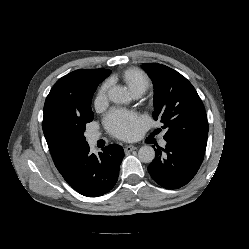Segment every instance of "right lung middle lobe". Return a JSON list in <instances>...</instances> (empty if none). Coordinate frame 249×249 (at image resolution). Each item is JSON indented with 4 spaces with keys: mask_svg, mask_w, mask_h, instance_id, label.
Instances as JSON below:
<instances>
[{
    "mask_svg": "<svg viewBox=\"0 0 249 249\" xmlns=\"http://www.w3.org/2000/svg\"><path fill=\"white\" fill-rule=\"evenodd\" d=\"M96 88L97 86L94 87L90 97L88 98L85 110L80 114L74 115L66 124V135L76 146L87 144L84 136V131L86 124L91 122L94 117L91 109V100Z\"/></svg>",
    "mask_w": 249,
    "mask_h": 249,
    "instance_id": "right-lung-middle-lobe-1",
    "label": "right lung middle lobe"
}]
</instances>
